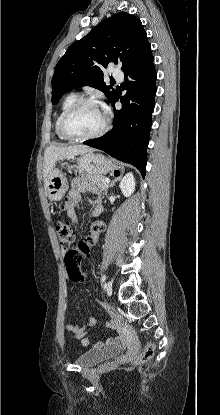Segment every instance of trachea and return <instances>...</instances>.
<instances>
[{
    "mask_svg": "<svg viewBox=\"0 0 220 415\" xmlns=\"http://www.w3.org/2000/svg\"><path fill=\"white\" fill-rule=\"evenodd\" d=\"M111 82H112V83H114V82H115V80H111Z\"/></svg>",
    "mask_w": 220,
    "mask_h": 415,
    "instance_id": "trachea-1",
    "label": "trachea"
}]
</instances>
